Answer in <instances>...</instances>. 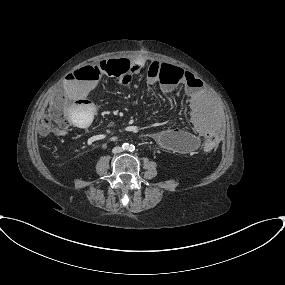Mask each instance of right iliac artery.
Masks as SVG:
<instances>
[{
  "mask_svg": "<svg viewBox=\"0 0 285 285\" xmlns=\"http://www.w3.org/2000/svg\"><path fill=\"white\" fill-rule=\"evenodd\" d=\"M127 145H128V144L125 143V144L123 145V147H126Z\"/></svg>",
  "mask_w": 285,
  "mask_h": 285,
  "instance_id": "obj_1",
  "label": "right iliac artery"
}]
</instances>
